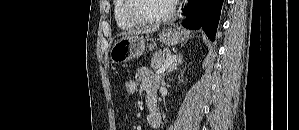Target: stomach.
Segmentation results:
<instances>
[{"instance_id":"obj_1","label":"stomach","mask_w":299,"mask_h":130,"mask_svg":"<svg viewBox=\"0 0 299 130\" xmlns=\"http://www.w3.org/2000/svg\"><path fill=\"white\" fill-rule=\"evenodd\" d=\"M184 39V31L166 28L159 33V40L165 45H175ZM145 51V39L136 35H126L117 40L110 50L112 63L120 64L140 57Z\"/></svg>"}]
</instances>
